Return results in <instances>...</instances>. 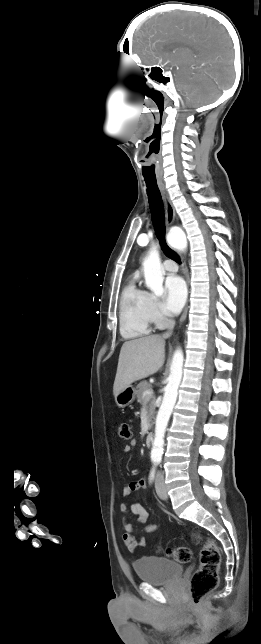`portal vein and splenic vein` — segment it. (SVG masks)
<instances>
[{"label":"portal vein and splenic vein","instance_id":"1","mask_svg":"<svg viewBox=\"0 0 261 644\" xmlns=\"http://www.w3.org/2000/svg\"><path fill=\"white\" fill-rule=\"evenodd\" d=\"M152 394H153L152 389H150V390H146V391L143 393V397H145V398H149Z\"/></svg>","mask_w":261,"mask_h":644}]
</instances>
